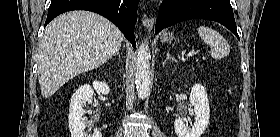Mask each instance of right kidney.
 Wrapping results in <instances>:
<instances>
[{
    "label": "right kidney",
    "mask_w": 280,
    "mask_h": 137,
    "mask_svg": "<svg viewBox=\"0 0 280 137\" xmlns=\"http://www.w3.org/2000/svg\"><path fill=\"white\" fill-rule=\"evenodd\" d=\"M94 90L101 94H108L110 91L109 86L105 82L94 81L92 86L85 84L79 87L76 92L72 95L70 106H69V130L71 137H101L102 134L98 130H95L93 135H86L85 129V118L83 115L86 113L83 109L86 103H91L93 100Z\"/></svg>",
    "instance_id": "obj_1"
}]
</instances>
